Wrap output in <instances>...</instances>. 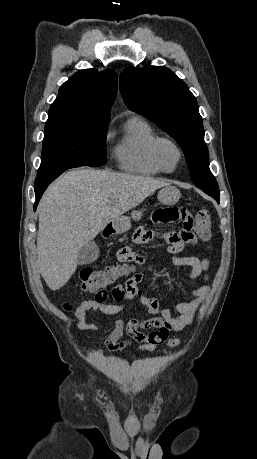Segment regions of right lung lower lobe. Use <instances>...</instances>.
<instances>
[{
  "label": "right lung lower lobe",
  "instance_id": "obj_1",
  "mask_svg": "<svg viewBox=\"0 0 257 459\" xmlns=\"http://www.w3.org/2000/svg\"><path fill=\"white\" fill-rule=\"evenodd\" d=\"M74 167H80L76 165H70V166H64V167H59L57 169H54L52 171H44V172H39L35 180V196H36V202L34 204V210H36L38 202L43 194V192L46 190L48 185L56 179L59 175H61L65 170L74 168Z\"/></svg>",
  "mask_w": 257,
  "mask_h": 459
}]
</instances>
